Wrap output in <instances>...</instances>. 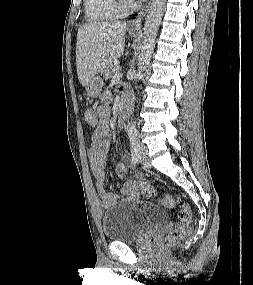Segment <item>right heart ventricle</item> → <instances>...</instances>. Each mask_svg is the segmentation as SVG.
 <instances>
[{
	"label": "right heart ventricle",
	"instance_id": "1",
	"mask_svg": "<svg viewBox=\"0 0 253 285\" xmlns=\"http://www.w3.org/2000/svg\"><path fill=\"white\" fill-rule=\"evenodd\" d=\"M85 17L91 22H103L121 15L113 0H84Z\"/></svg>",
	"mask_w": 253,
	"mask_h": 285
}]
</instances>
